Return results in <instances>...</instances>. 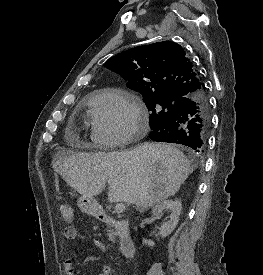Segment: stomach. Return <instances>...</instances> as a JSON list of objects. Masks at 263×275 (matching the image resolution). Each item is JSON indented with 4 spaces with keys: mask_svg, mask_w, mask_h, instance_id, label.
I'll return each mask as SVG.
<instances>
[{
    "mask_svg": "<svg viewBox=\"0 0 263 275\" xmlns=\"http://www.w3.org/2000/svg\"><path fill=\"white\" fill-rule=\"evenodd\" d=\"M77 205L79 209L86 214L92 215L96 218L100 216L101 209L99 207L98 202L93 198H89L82 195L78 199Z\"/></svg>",
    "mask_w": 263,
    "mask_h": 275,
    "instance_id": "0dacf381",
    "label": "stomach"
}]
</instances>
